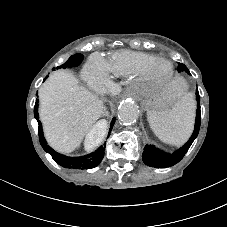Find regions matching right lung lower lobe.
I'll return each instance as SVG.
<instances>
[{
  "mask_svg": "<svg viewBox=\"0 0 227 227\" xmlns=\"http://www.w3.org/2000/svg\"><path fill=\"white\" fill-rule=\"evenodd\" d=\"M37 108H38V104L36 103L35 105L36 110L34 111V115H35V118L38 120ZM114 122H115V118L112 119L110 131L112 129V126L114 125ZM38 124H39L38 133H39L41 146L47 153H49L52 156L53 160L59 165H61L62 167L70 168V169H91L96 167L100 163L102 159V155L104 153L102 150V146L99 147L98 150H96L95 152L82 157H68V156L59 154L55 152L50 146L47 145V142L43 135L41 122L39 120H38Z\"/></svg>",
  "mask_w": 227,
  "mask_h": 227,
  "instance_id": "1",
  "label": "right lung lower lobe"
}]
</instances>
